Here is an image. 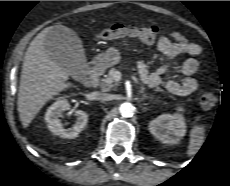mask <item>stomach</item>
Returning <instances> with one entry per match:
<instances>
[{"label":"stomach","instance_id":"1","mask_svg":"<svg viewBox=\"0 0 230 186\" xmlns=\"http://www.w3.org/2000/svg\"><path fill=\"white\" fill-rule=\"evenodd\" d=\"M120 58V52L116 48L110 47L104 54L98 55L96 61L104 67H111L119 63Z\"/></svg>","mask_w":230,"mask_h":186}]
</instances>
